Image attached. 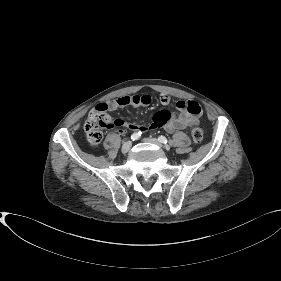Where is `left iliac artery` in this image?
<instances>
[{"mask_svg": "<svg viewBox=\"0 0 281 281\" xmlns=\"http://www.w3.org/2000/svg\"><path fill=\"white\" fill-rule=\"evenodd\" d=\"M158 141L163 143V144L171 143V141L168 142L167 138L165 136H162V135L158 137Z\"/></svg>", "mask_w": 281, "mask_h": 281, "instance_id": "obj_1", "label": "left iliac artery"}]
</instances>
